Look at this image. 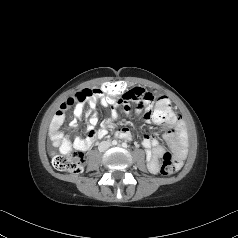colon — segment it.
Instances as JSON below:
<instances>
[{
	"label": "colon",
	"instance_id": "colon-1",
	"mask_svg": "<svg viewBox=\"0 0 238 238\" xmlns=\"http://www.w3.org/2000/svg\"><path fill=\"white\" fill-rule=\"evenodd\" d=\"M127 87L123 80H104L103 85L93 89H83L77 92L73 97L68 100V104L73 102H83L87 98L95 95L105 96L107 103H118L121 101ZM148 116L152 117L158 122H167L171 120L175 112L173 111L169 100L165 97H156L154 100V108L148 111ZM53 166L64 172L72 174H79L84 170L85 159L81 152H71L67 155H54L52 158ZM178 167L177 160L169 152L164 153L160 173L163 175H170L176 171Z\"/></svg>",
	"mask_w": 238,
	"mask_h": 238
}]
</instances>
